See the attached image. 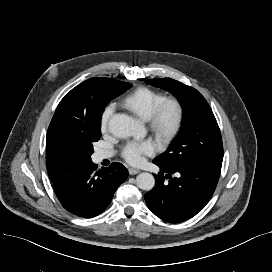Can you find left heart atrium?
<instances>
[{"label": "left heart atrium", "mask_w": 272, "mask_h": 272, "mask_svg": "<svg viewBox=\"0 0 272 272\" xmlns=\"http://www.w3.org/2000/svg\"><path fill=\"white\" fill-rule=\"evenodd\" d=\"M154 151L155 147L149 141H132L124 146L122 150V156L128 163L138 165L144 161L145 156L152 155Z\"/></svg>", "instance_id": "1"}]
</instances>
